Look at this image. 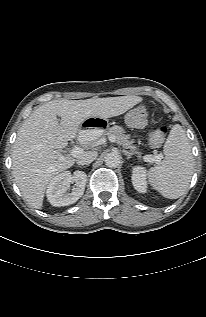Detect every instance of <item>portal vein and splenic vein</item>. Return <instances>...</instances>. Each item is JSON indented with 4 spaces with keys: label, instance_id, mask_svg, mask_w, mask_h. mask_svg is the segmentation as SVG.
Segmentation results:
<instances>
[{
    "label": "portal vein and splenic vein",
    "instance_id": "obj_1",
    "mask_svg": "<svg viewBox=\"0 0 206 317\" xmlns=\"http://www.w3.org/2000/svg\"><path fill=\"white\" fill-rule=\"evenodd\" d=\"M109 140L111 142H116L114 136H110ZM80 154H82V149L80 147H74L70 151V155L73 156V157H78ZM160 159H161L160 155H154L153 157L151 155L144 156V160L146 162L159 161Z\"/></svg>",
    "mask_w": 206,
    "mask_h": 317
}]
</instances>
